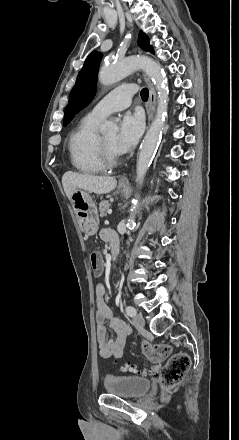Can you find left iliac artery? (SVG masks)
I'll return each mask as SVG.
<instances>
[{"instance_id": "44dca946", "label": "left iliac artery", "mask_w": 239, "mask_h": 440, "mask_svg": "<svg viewBox=\"0 0 239 440\" xmlns=\"http://www.w3.org/2000/svg\"><path fill=\"white\" fill-rule=\"evenodd\" d=\"M126 313L128 316L133 317L136 315V309L132 306H127L126 307Z\"/></svg>"}]
</instances>
